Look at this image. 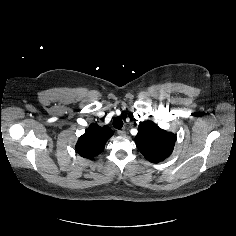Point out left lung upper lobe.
I'll list each match as a JSON object with an SVG mask.
<instances>
[{
	"label": "left lung upper lobe",
	"instance_id": "left-lung-upper-lobe-1",
	"mask_svg": "<svg viewBox=\"0 0 236 236\" xmlns=\"http://www.w3.org/2000/svg\"><path fill=\"white\" fill-rule=\"evenodd\" d=\"M176 136L159 128L152 121L141 122L138 126V134L135 143L144 155L152 162L158 163L169 157L173 151Z\"/></svg>",
	"mask_w": 236,
	"mask_h": 236
}]
</instances>
